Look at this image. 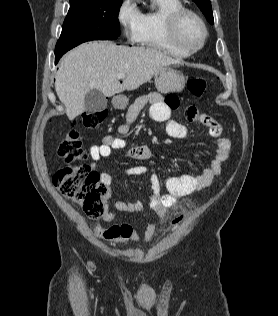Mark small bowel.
<instances>
[{"mask_svg": "<svg viewBox=\"0 0 278 316\" xmlns=\"http://www.w3.org/2000/svg\"><path fill=\"white\" fill-rule=\"evenodd\" d=\"M149 106V115L151 119L158 122H166L167 133L177 139H184L188 136L187 127L171 119V111L179 106V100L176 96L169 95L164 99L159 93H149L139 97L128 109L126 120L119 128L121 135L127 134L140 112ZM186 119L190 122H197L207 127L211 137L217 139L216 152L210 165L205 168L198 176L180 175L170 177L166 180L167 193L161 192V182L157 175H150L151 194L149 198L150 208L157 215V222L150 223L144 230L143 239L149 241L153 237L157 224L164 221L167 209L176 205L178 200L195 191L208 188L214 178L221 173L222 164L228 159L231 142L228 138L222 137V126L210 115L201 113L195 106L187 107L185 111ZM114 150H126L129 158L143 161L152 157V151L148 146L136 145L128 146L127 142L113 135H107L103 138L102 144L92 145L89 148V155L92 159L90 168L95 171L97 162L103 158L109 157ZM148 168L143 165H135L127 169L128 176H140L147 174ZM101 182L107 187L108 192L113 188L112 176L107 172L100 174ZM116 210L130 214L143 212L144 204L141 201L128 202L117 200L113 203ZM103 221L111 224L109 227H103L99 223L93 225L95 235L107 241L110 244H129L137 242L140 239L138 229L130 223L118 224L116 213L105 207Z\"/></svg>", "mask_w": 278, "mask_h": 316, "instance_id": "c3829d8e", "label": "small bowel"}]
</instances>
